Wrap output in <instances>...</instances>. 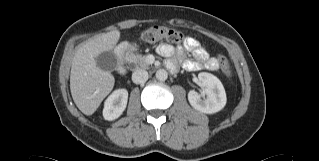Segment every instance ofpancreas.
I'll list each match as a JSON object with an SVG mask.
<instances>
[{
    "instance_id": "1",
    "label": "pancreas",
    "mask_w": 319,
    "mask_h": 161,
    "mask_svg": "<svg viewBox=\"0 0 319 161\" xmlns=\"http://www.w3.org/2000/svg\"><path fill=\"white\" fill-rule=\"evenodd\" d=\"M126 60L130 63H134L137 68L148 69L149 64L146 61V56L135 54L133 52L129 53Z\"/></svg>"
}]
</instances>
